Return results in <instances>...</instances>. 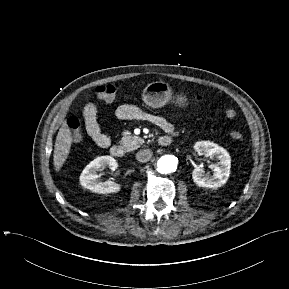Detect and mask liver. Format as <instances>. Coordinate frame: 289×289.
<instances>
[{"label":"liver","instance_id":"1","mask_svg":"<svg viewBox=\"0 0 289 289\" xmlns=\"http://www.w3.org/2000/svg\"><path fill=\"white\" fill-rule=\"evenodd\" d=\"M71 130L67 123H63L56 137L53 154V165L58 172L65 163L72 144Z\"/></svg>","mask_w":289,"mask_h":289}]
</instances>
